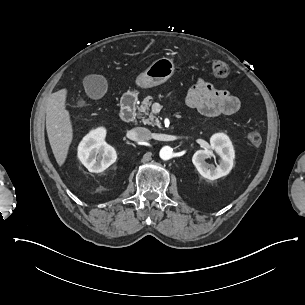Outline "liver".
I'll list each match as a JSON object with an SVG mask.
<instances>
[{
	"label": "liver",
	"instance_id": "liver-1",
	"mask_svg": "<svg viewBox=\"0 0 305 305\" xmlns=\"http://www.w3.org/2000/svg\"><path fill=\"white\" fill-rule=\"evenodd\" d=\"M66 95L67 90L61 89L46 100V130L59 166L65 162L72 141V125L65 109Z\"/></svg>",
	"mask_w": 305,
	"mask_h": 305
}]
</instances>
